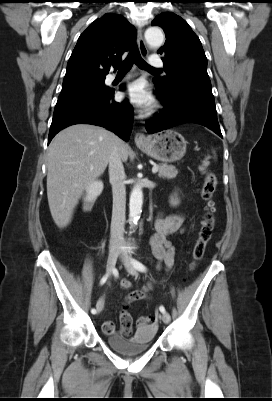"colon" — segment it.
Segmentation results:
<instances>
[{
  "instance_id": "colon-1",
  "label": "colon",
  "mask_w": 272,
  "mask_h": 401,
  "mask_svg": "<svg viewBox=\"0 0 272 401\" xmlns=\"http://www.w3.org/2000/svg\"><path fill=\"white\" fill-rule=\"evenodd\" d=\"M208 162L204 161L200 167L204 179L201 189V197L204 201L205 213L201 222V227L197 242L193 249V263L191 269H194L196 263L203 257L207 243L210 241L216 223L214 193L217 187V178L215 174L207 169ZM153 318L149 316L139 317L138 326H148L152 323Z\"/></svg>"
}]
</instances>
